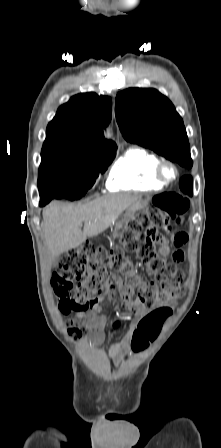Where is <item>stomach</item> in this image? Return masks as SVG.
Listing matches in <instances>:
<instances>
[{"instance_id": "stomach-1", "label": "stomach", "mask_w": 221, "mask_h": 448, "mask_svg": "<svg viewBox=\"0 0 221 448\" xmlns=\"http://www.w3.org/2000/svg\"><path fill=\"white\" fill-rule=\"evenodd\" d=\"M142 207V205L140 206H133L127 209L126 213L116 222L115 226H114V232H113V237H118L119 236V230L121 228H123V226L125 225V223H127V221L130 218H133L136 211L138 209H140Z\"/></svg>"}]
</instances>
